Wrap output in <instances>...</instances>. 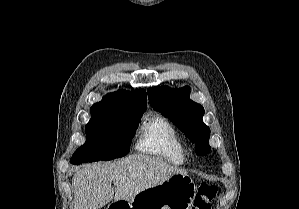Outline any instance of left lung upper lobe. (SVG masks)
I'll list each match as a JSON object with an SVG mask.
<instances>
[{"instance_id": "obj_1", "label": "left lung upper lobe", "mask_w": 299, "mask_h": 209, "mask_svg": "<svg viewBox=\"0 0 299 209\" xmlns=\"http://www.w3.org/2000/svg\"><path fill=\"white\" fill-rule=\"evenodd\" d=\"M189 87L171 89L165 86L148 89L150 105L170 120L195 144L198 155L210 151V128L203 123L204 108L189 99Z\"/></svg>"}]
</instances>
